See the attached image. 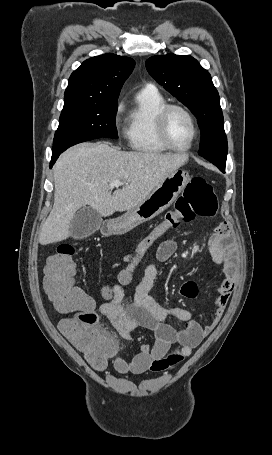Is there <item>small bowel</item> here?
Here are the masks:
<instances>
[{
	"instance_id": "small-bowel-1",
	"label": "small bowel",
	"mask_w": 272,
	"mask_h": 455,
	"mask_svg": "<svg viewBox=\"0 0 272 455\" xmlns=\"http://www.w3.org/2000/svg\"><path fill=\"white\" fill-rule=\"evenodd\" d=\"M177 242L173 239L164 240L157 249V259L168 260L176 251ZM135 250V249H134ZM134 250L123 255L121 260L127 263ZM209 250L216 264L221 265L223 278L218 285V296L211 322L201 325L192 320L191 313L183 308L165 309L151 296L150 292L157 276L155 263L149 264L134 293V301L122 305L124 284L118 282L109 285L110 295H103V303L99 311L106 316L119 335L125 340L132 339L136 329H146L155 336L154 344H144L140 351L130 360L123 357L115 360L116 369L121 374H142L146 371L162 372L173 369L185 357H188L202 340L219 323L227 307L231 292L237 278V263L234 241L226 223H221L209 239ZM180 294L188 299L198 295L195 282L189 281L180 287ZM176 318L185 325L180 329L173 328L168 320ZM175 347L174 349H172Z\"/></svg>"
}]
</instances>
